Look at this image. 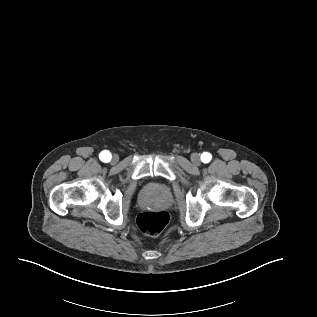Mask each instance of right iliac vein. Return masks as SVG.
I'll return each instance as SVG.
<instances>
[{
	"instance_id": "right-iliac-vein-1",
	"label": "right iliac vein",
	"mask_w": 317,
	"mask_h": 317,
	"mask_svg": "<svg viewBox=\"0 0 317 317\" xmlns=\"http://www.w3.org/2000/svg\"><path fill=\"white\" fill-rule=\"evenodd\" d=\"M118 160H119V157L117 155H114L111 159V163L115 164L118 162Z\"/></svg>"
}]
</instances>
